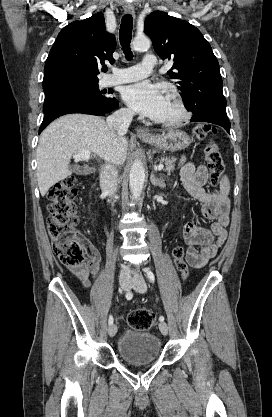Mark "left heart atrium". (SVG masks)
Instances as JSON below:
<instances>
[{
	"label": "left heart atrium",
	"mask_w": 272,
	"mask_h": 417,
	"mask_svg": "<svg viewBox=\"0 0 272 417\" xmlns=\"http://www.w3.org/2000/svg\"><path fill=\"white\" fill-rule=\"evenodd\" d=\"M122 97L135 112L154 120H158L167 101L160 85L146 81L127 86Z\"/></svg>",
	"instance_id": "obj_1"
}]
</instances>
